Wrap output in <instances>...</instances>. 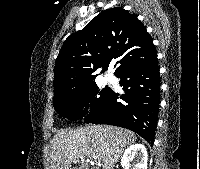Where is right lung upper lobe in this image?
<instances>
[{
	"label": "right lung upper lobe",
	"mask_w": 200,
	"mask_h": 169,
	"mask_svg": "<svg viewBox=\"0 0 200 169\" xmlns=\"http://www.w3.org/2000/svg\"><path fill=\"white\" fill-rule=\"evenodd\" d=\"M156 57L153 40L136 15L121 7L104 10L65 40L55 63L53 99L95 80V71H105L113 59L118 76Z\"/></svg>",
	"instance_id": "1"
}]
</instances>
